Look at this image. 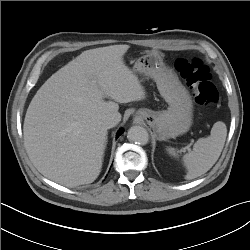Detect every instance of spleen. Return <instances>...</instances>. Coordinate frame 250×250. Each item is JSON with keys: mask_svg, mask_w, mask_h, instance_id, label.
<instances>
[{"mask_svg": "<svg viewBox=\"0 0 250 250\" xmlns=\"http://www.w3.org/2000/svg\"><path fill=\"white\" fill-rule=\"evenodd\" d=\"M227 136L225 123L218 121L212 129L210 136L199 138L193 150L183 156V163L187 169L186 179L191 180L206 173L218 160ZM172 156H177L174 148H168Z\"/></svg>", "mask_w": 250, "mask_h": 250, "instance_id": "spleen-1", "label": "spleen"}]
</instances>
